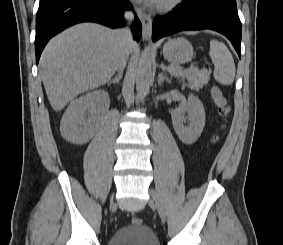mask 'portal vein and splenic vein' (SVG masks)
Listing matches in <instances>:
<instances>
[{
	"label": "portal vein and splenic vein",
	"instance_id": "obj_1",
	"mask_svg": "<svg viewBox=\"0 0 283 245\" xmlns=\"http://www.w3.org/2000/svg\"><path fill=\"white\" fill-rule=\"evenodd\" d=\"M168 69L173 75H184V74L191 72L193 69H195V67L192 66L190 68L180 69L177 71H173L170 67Z\"/></svg>",
	"mask_w": 283,
	"mask_h": 245
}]
</instances>
